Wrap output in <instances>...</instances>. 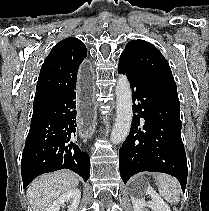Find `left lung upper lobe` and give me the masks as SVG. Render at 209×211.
Wrapping results in <instances>:
<instances>
[{"mask_svg": "<svg viewBox=\"0 0 209 211\" xmlns=\"http://www.w3.org/2000/svg\"><path fill=\"white\" fill-rule=\"evenodd\" d=\"M120 59L128 61L136 71L151 81L177 91L168 62L151 43L144 40L130 41Z\"/></svg>", "mask_w": 209, "mask_h": 211, "instance_id": "left-lung-upper-lobe-1", "label": "left lung upper lobe"}]
</instances>
